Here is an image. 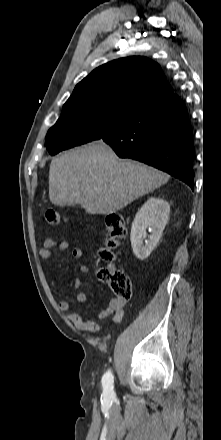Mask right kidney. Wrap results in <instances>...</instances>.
I'll use <instances>...</instances> for the list:
<instances>
[{
    "mask_svg": "<svg viewBox=\"0 0 221 440\" xmlns=\"http://www.w3.org/2000/svg\"><path fill=\"white\" fill-rule=\"evenodd\" d=\"M169 213L168 202L156 197L149 198L137 212L132 223L130 240L133 252L139 260L146 259L155 248L167 224ZM147 228L151 233L148 236Z\"/></svg>",
    "mask_w": 221,
    "mask_h": 440,
    "instance_id": "obj_1",
    "label": "right kidney"
}]
</instances>
